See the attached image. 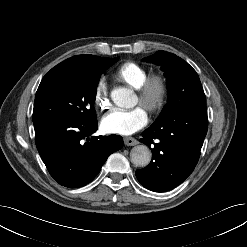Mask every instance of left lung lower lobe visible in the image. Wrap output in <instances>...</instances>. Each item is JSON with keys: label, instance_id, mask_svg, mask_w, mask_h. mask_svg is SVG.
<instances>
[{"label": "left lung lower lobe", "instance_id": "1", "mask_svg": "<svg viewBox=\"0 0 247 247\" xmlns=\"http://www.w3.org/2000/svg\"><path fill=\"white\" fill-rule=\"evenodd\" d=\"M206 108H192L152 124L140 142L151 147L152 160L136 171L138 181L154 192L181 184L194 170L207 133Z\"/></svg>", "mask_w": 247, "mask_h": 247}]
</instances>
